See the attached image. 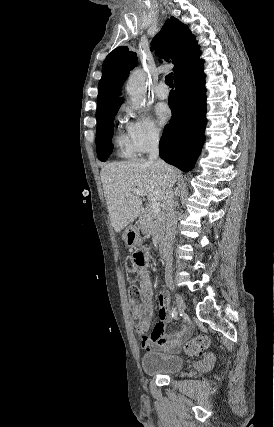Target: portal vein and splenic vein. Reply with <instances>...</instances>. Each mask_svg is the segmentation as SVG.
Here are the masks:
<instances>
[{
	"mask_svg": "<svg viewBox=\"0 0 274 427\" xmlns=\"http://www.w3.org/2000/svg\"><path fill=\"white\" fill-rule=\"evenodd\" d=\"M126 194L130 196L129 192H126ZM132 194H134V196H147L145 190H133ZM149 210L153 212V214H159V212H161L160 202H153V204H150Z\"/></svg>",
	"mask_w": 274,
	"mask_h": 427,
	"instance_id": "18ae733b",
	"label": "portal vein and splenic vein"
}]
</instances>
